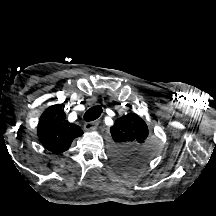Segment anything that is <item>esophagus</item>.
Listing matches in <instances>:
<instances>
[{"label":"esophagus","mask_w":216,"mask_h":216,"mask_svg":"<svg viewBox=\"0 0 216 216\" xmlns=\"http://www.w3.org/2000/svg\"><path fill=\"white\" fill-rule=\"evenodd\" d=\"M99 125V122L98 121H93V122H86L84 124V129L86 131H91V130H94L96 129V127Z\"/></svg>","instance_id":"1"}]
</instances>
